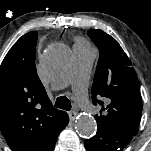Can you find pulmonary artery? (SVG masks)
<instances>
[{
  "label": "pulmonary artery",
  "mask_w": 151,
  "mask_h": 151,
  "mask_svg": "<svg viewBox=\"0 0 151 151\" xmlns=\"http://www.w3.org/2000/svg\"><path fill=\"white\" fill-rule=\"evenodd\" d=\"M74 61L65 78L58 81L56 88L60 89L72 84L77 102L82 108L94 110L87 97V84L96 57V50L85 44H75L73 47Z\"/></svg>",
  "instance_id": "1"
}]
</instances>
